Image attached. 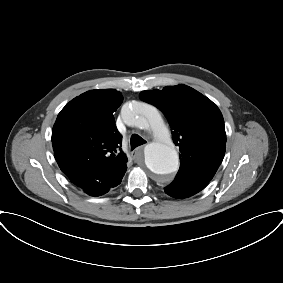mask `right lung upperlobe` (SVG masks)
Returning a JSON list of instances; mask_svg holds the SVG:
<instances>
[{
  "label": "right lung upper lobe",
  "mask_w": 283,
  "mask_h": 283,
  "mask_svg": "<svg viewBox=\"0 0 283 283\" xmlns=\"http://www.w3.org/2000/svg\"><path fill=\"white\" fill-rule=\"evenodd\" d=\"M122 101L114 89L91 90L71 100L58 114L52 130L55 159L77 187L123 178L127 158L113 116Z\"/></svg>",
  "instance_id": "obj_1"
}]
</instances>
